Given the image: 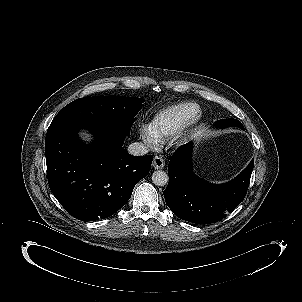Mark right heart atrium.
I'll return each mask as SVG.
<instances>
[{"label": "right heart atrium", "mask_w": 302, "mask_h": 302, "mask_svg": "<svg viewBox=\"0 0 302 302\" xmlns=\"http://www.w3.org/2000/svg\"><path fill=\"white\" fill-rule=\"evenodd\" d=\"M139 137L150 149H156L162 143V140L148 126L139 128Z\"/></svg>", "instance_id": "right-heart-atrium-1"}]
</instances>
